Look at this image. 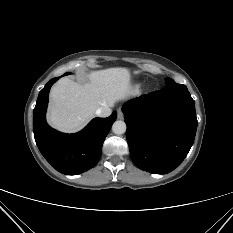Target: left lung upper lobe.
Masks as SVG:
<instances>
[{"instance_id": "5c2ea615", "label": "left lung upper lobe", "mask_w": 233, "mask_h": 233, "mask_svg": "<svg viewBox=\"0 0 233 233\" xmlns=\"http://www.w3.org/2000/svg\"><path fill=\"white\" fill-rule=\"evenodd\" d=\"M166 84H167V86H171V85L176 84V82L173 79H171V78H167Z\"/></svg>"}]
</instances>
